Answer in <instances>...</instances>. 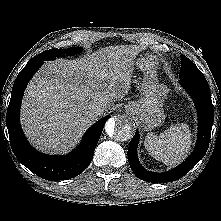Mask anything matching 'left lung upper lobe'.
<instances>
[{
	"mask_svg": "<svg viewBox=\"0 0 221 221\" xmlns=\"http://www.w3.org/2000/svg\"><path fill=\"white\" fill-rule=\"evenodd\" d=\"M182 66L179 78H205L203 73L196 67L194 63L186 56L182 55Z\"/></svg>",
	"mask_w": 221,
	"mask_h": 221,
	"instance_id": "1",
	"label": "left lung upper lobe"
}]
</instances>
